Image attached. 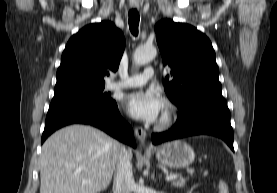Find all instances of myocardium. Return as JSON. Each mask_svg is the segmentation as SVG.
Masks as SVG:
<instances>
[{"label":"myocardium","mask_w":277,"mask_h":193,"mask_svg":"<svg viewBox=\"0 0 277 193\" xmlns=\"http://www.w3.org/2000/svg\"><path fill=\"white\" fill-rule=\"evenodd\" d=\"M164 108H165V112L163 116L159 119V121L155 125V128L158 130H164L169 128L177 118V113H178L177 107L172 101L165 100Z\"/></svg>","instance_id":"1"}]
</instances>
